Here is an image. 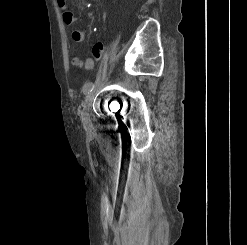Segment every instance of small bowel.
<instances>
[{"label":"small bowel","mask_w":247,"mask_h":245,"mask_svg":"<svg viewBox=\"0 0 247 245\" xmlns=\"http://www.w3.org/2000/svg\"><path fill=\"white\" fill-rule=\"evenodd\" d=\"M57 4L61 9L64 10L62 14L64 23L67 25L73 24L76 21V17L71 11L67 10V0H57ZM85 37H86V34L82 30H74L72 33V38L76 42L83 41ZM92 52H93L94 58L98 60L101 57L102 52H103L102 44L96 43L92 48ZM72 63L73 65L77 67H81V68L89 70L94 67L95 60L92 58H87L83 60L78 57H74L72 59Z\"/></svg>","instance_id":"c3829d8e"}]
</instances>
